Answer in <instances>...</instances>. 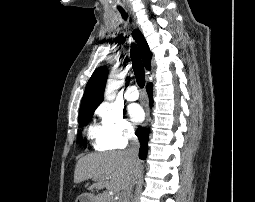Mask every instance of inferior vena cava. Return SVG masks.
<instances>
[{"label": "inferior vena cava", "instance_id": "inferior-vena-cava-1", "mask_svg": "<svg viewBox=\"0 0 255 202\" xmlns=\"http://www.w3.org/2000/svg\"><path fill=\"white\" fill-rule=\"evenodd\" d=\"M130 145L128 149H126L125 154L129 157L131 162L138 166L140 161L138 157V152H139V141L137 137L134 135V131L130 132ZM136 179L124 189L122 192V196L119 202H130L131 194L133 191V186L135 184Z\"/></svg>", "mask_w": 255, "mask_h": 202}]
</instances>
